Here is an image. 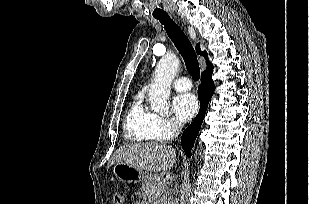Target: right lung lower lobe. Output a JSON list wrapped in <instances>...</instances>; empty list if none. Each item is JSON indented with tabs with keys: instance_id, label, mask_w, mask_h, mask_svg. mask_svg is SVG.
Wrapping results in <instances>:
<instances>
[{
	"instance_id": "right-lung-lower-lobe-1",
	"label": "right lung lower lobe",
	"mask_w": 309,
	"mask_h": 204,
	"mask_svg": "<svg viewBox=\"0 0 309 204\" xmlns=\"http://www.w3.org/2000/svg\"><path fill=\"white\" fill-rule=\"evenodd\" d=\"M212 68L206 69L201 76V85L199 86L200 110L199 114L191 125L182 134V146L187 156L191 157V149L193 147L200 126L203 122L209 99L214 92V84L211 79Z\"/></svg>"
}]
</instances>
